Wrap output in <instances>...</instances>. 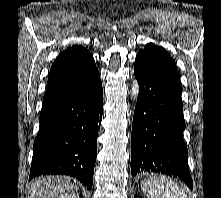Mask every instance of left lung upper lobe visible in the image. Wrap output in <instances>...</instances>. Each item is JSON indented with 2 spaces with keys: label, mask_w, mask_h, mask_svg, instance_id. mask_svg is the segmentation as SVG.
<instances>
[{
  "label": "left lung upper lobe",
  "mask_w": 221,
  "mask_h": 198,
  "mask_svg": "<svg viewBox=\"0 0 221 198\" xmlns=\"http://www.w3.org/2000/svg\"><path fill=\"white\" fill-rule=\"evenodd\" d=\"M138 54L150 58L158 66L179 80V74L174 60L162 47L149 43L142 50H140Z\"/></svg>",
  "instance_id": "obj_1"
}]
</instances>
